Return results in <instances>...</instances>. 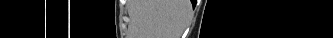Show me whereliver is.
<instances>
[{
    "instance_id": "obj_1",
    "label": "liver",
    "mask_w": 333,
    "mask_h": 38,
    "mask_svg": "<svg viewBox=\"0 0 333 38\" xmlns=\"http://www.w3.org/2000/svg\"><path fill=\"white\" fill-rule=\"evenodd\" d=\"M192 13L189 0H137V38H180Z\"/></svg>"
}]
</instances>
